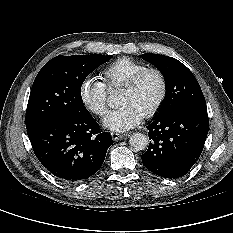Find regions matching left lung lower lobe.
<instances>
[{"label": "left lung lower lobe", "mask_w": 233, "mask_h": 233, "mask_svg": "<svg viewBox=\"0 0 233 233\" xmlns=\"http://www.w3.org/2000/svg\"><path fill=\"white\" fill-rule=\"evenodd\" d=\"M148 150L141 155L151 172L167 178L184 176L198 160L207 137L209 119L206 108L174 110L147 126Z\"/></svg>", "instance_id": "obj_1"}]
</instances>
